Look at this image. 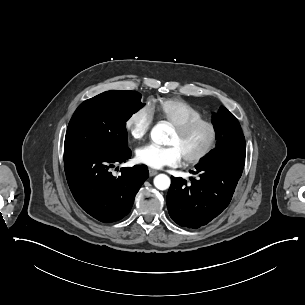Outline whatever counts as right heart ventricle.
Instances as JSON below:
<instances>
[{
    "instance_id": "e07e8e85",
    "label": "right heart ventricle",
    "mask_w": 305,
    "mask_h": 305,
    "mask_svg": "<svg viewBox=\"0 0 305 305\" xmlns=\"http://www.w3.org/2000/svg\"><path fill=\"white\" fill-rule=\"evenodd\" d=\"M153 116L169 121L171 124L203 118V114L188 102L178 98H163L149 103Z\"/></svg>"
}]
</instances>
